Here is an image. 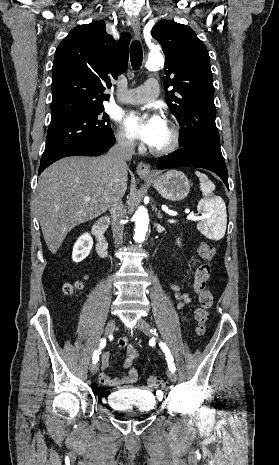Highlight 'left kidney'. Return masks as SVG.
<instances>
[{"label": "left kidney", "instance_id": "1", "mask_svg": "<svg viewBox=\"0 0 279 465\" xmlns=\"http://www.w3.org/2000/svg\"><path fill=\"white\" fill-rule=\"evenodd\" d=\"M177 243H178V244L180 243V242H179V239L177 240Z\"/></svg>", "mask_w": 279, "mask_h": 465}]
</instances>
